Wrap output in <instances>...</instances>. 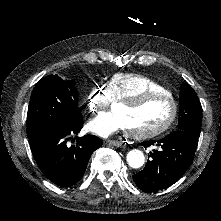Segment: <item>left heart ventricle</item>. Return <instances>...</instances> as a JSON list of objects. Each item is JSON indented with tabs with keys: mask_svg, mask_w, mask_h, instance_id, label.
I'll list each match as a JSON object with an SVG mask.
<instances>
[{
	"mask_svg": "<svg viewBox=\"0 0 221 221\" xmlns=\"http://www.w3.org/2000/svg\"><path fill=\"white\" fill-rule=\"evenodd\" d=\"M170 116V109L166 102L152 100L150 103H141L137 117L132 124H153L157 120H166Z\"/></svg>",
	"mask_w": 221,
	"mask_h": 221,
	"instance_id": "1",
	"label": "left heart ventricle"
}]
</instances>
